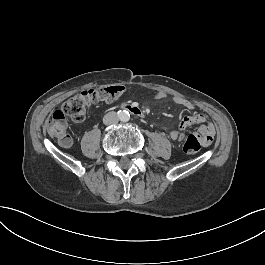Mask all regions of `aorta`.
I'll return each mask as SVG.
<instances>
[{"mask_svg": "<svg viewBox=\"0 0 265 265\" xmlns=\"http://www.w3.org/2000/svg\"><path fill=\"white\" fill-rule=\"evenodd\" d=\"M119 119L122 122H127L130 119V115H129V113L127 111H124V112L119 114Z\"/></svg>", "mask_w": 265, "mask_h": 265, "instance_id": "1", "label": "aorta"}]
</instances>
